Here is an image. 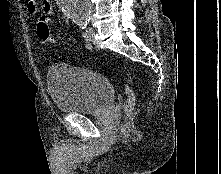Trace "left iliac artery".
Segmentation results:
<instances>
[{
	"mask_svg": "<svg viewBox=\"0 0 221 174\" xmlns=\"http://www.w3.org/2000/svg\"><path fill=\"white\" fill-rule=\"evenodd\" d=\"M87 24H88V21H80V22L78 23V25H79L82 29H84V28L87 26Z\"/></svg>",
	"mask_w": 221,
	"mask_h": 174,
	"instance_id": "obj_1",
	"label": "left iliac artery"
}]
</instances>
